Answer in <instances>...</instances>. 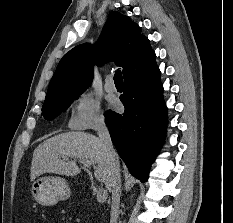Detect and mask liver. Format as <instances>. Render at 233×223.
Returning a JSON list of instances; mask_svg holds the SVG:
<instances>
[{"mask_svg": "<svg viewBox=\"0 0 233 223\" xmlns=\"http://www.w3.org/2000/svg\"><path fill=\"white\" fill-rule=\"evenodd\" d=\"M77 159L94 163L93 175L108 187L112 175L110 159L101 147L99 137L85 131H67L39 143L33 151L30 179L43 173L78 175L81 169Z\"/></svg>", "mask_w": 233, "mask_h": 223, "instance_id": "1", "label": "liver"}]
</instances>
